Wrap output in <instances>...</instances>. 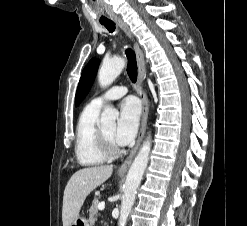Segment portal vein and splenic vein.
<instances>
[{"mask_svg": "<svg viewBox=\"0 0 247 226\" xmlns=\"http://www.w3.org/2000/svg\"><path fill=\"white\" fill-rule=\"evenodd\" d=\"M104 208H105V202L102 201V202H100V203L98 204V209H99V210H104Z\"/></svg>", "mask_w": 247, "mask_h": 226, "instance_id": "portal-vein-and-splenic-vein-1", "label": "portal vein and splenic vein"}]
</instances>
